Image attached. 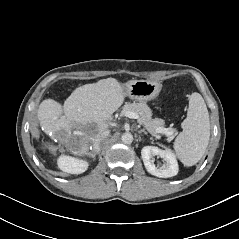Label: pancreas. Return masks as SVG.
Instances as JSON below:
<instances>
[{
    "mask_svg": "<svg viewBox=\"0 0 239 239\" xmlns=\"http://www.w3.org/2000/svg\"><path fill=\"white\" fill-rule=\"evenodd\" d=\"M123 109L137 113L139 115V124L143 125L144 128L153 136H158L156 130L157 128L163 127L164 120L160 118L152 119V111L146 103L133 102L131 104H126Z\"/></svg>",
    "mask_w": 239,
    "mask_h": 239,
    "instance_id": "1",
    "label": "pancreas"
}]
</instances>
